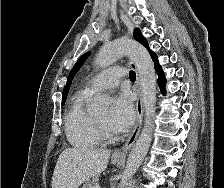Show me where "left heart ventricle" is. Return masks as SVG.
I'll list each match as a JSON object with an SVG mask.
<instances>
[{"label": "left heart ventricle", "mask_w": 224, "mask_h": 188, "mask_svg": "<svg viewBox=\"0 0 224 188\" xmlns=\"http://www.w3.org/2000/svg\"><path fill=\"white\" fill-rule=\"evenodd\" d=\"M96 117L110 130L113 132L112 128L110 127L109 125V121H108V118H109V113L108 111H104V112H101V113H98L96 114Z\"/></svg>", "instance_id": "left-heart-ventricle-1"}]
</instances>
